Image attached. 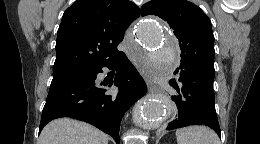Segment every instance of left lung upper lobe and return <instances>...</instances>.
Here are the masks:
<instances>
[{
  "label": "left lung upper lobe",
  "mask_w": 260,
  "mask_h": 144,
  "mask_svg": "<svg viewBox=\"0 0 260 144\" xmlns=\"http://www.w3.org/2000/svg\"><path fill=\"white\" fill-rule=\"evenodd\" d=\"M141 15H156L174 30L181 49V65L214 77V35L211 21L195 4L185 0H152Z\"/></svg>",
  "instance_id": "left-lung-upper-lobe-1"
}]
</instances>
